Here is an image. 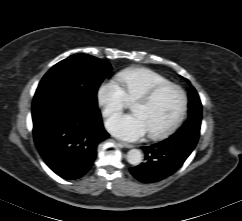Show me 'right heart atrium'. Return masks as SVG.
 Listing matches in <instances>:
<instances>
[{"instance_id": "right-heart-atrium-1", "label": "right heart atrium", "mask_w": 242, "mask_h": 221, "mask_svg": "<svg viewBox=\"0 0 242 221\" xmlns=\"http://www.w3.org/2000/svg\"><path fill=\"white\" fill-rule=\"evenodd\" d=\"M96 97L105 117L120 112L129 103L121 85L113 80L103 81L97 89Z\"/></svg>"}]
</instances>
